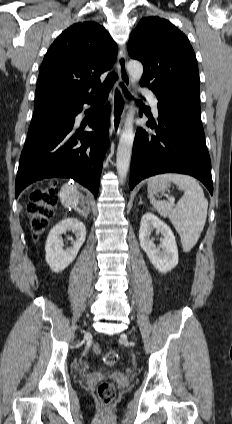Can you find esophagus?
<instances>
[{"mask_svg":"<svg viewBox=\"0 0 232 424\" xmlns=\"http://www.w3.org/2000/svg\"><path fill=\"white\" fill-rule=\"evenodd\" d=\"M126 54L121 52L118 54V72L120 84L122 83L125 87L130 85V77L126 69ZM126 109V99L123 94L121 85L116 86L113 90V105L112 114L110 120V135L118 136L121 132L122 121Z\"/></svg>","mask_w":232,"mask_h":424,"instance_id":"34e87169","label":"esophagus"}]
</instances>
